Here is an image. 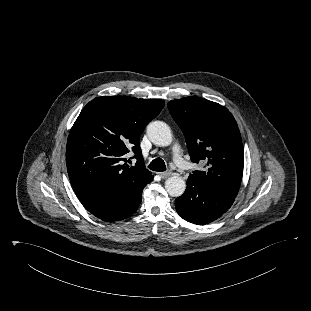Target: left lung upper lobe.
<instances>
[{
  "instance_id": "obj_1",
  "label": "left lung upper lobe",
  "mask_w": 311,
  "mask_h": 311,
  "mask_svg": "<svg viewBox=\"0 0 311 311\" xmlns=\"http://www.w3.org/2000/svg\"><path fill=\"white\" fill-rule=\"evenodd\" d=\"M167 106L186 138L191 160L206 163L205 170L194 171L192 176L235 198L244 154L233 115L218 103L194 96L172 100Z\"/></svg>"
}]
</instances>
